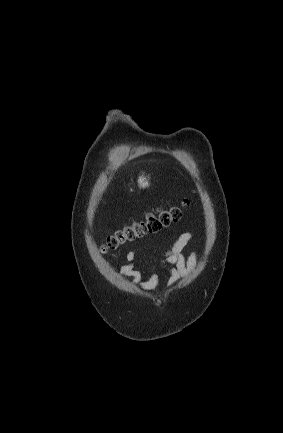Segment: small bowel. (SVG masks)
I'll list each match as a JSON object with an SVG mask.
<instances>
[{
  "label": "small bowel",
  "mask_w": 283,
  "mask_h": 433,
  "mask_svg": "<svg viewBox=\"0 0 283 433\" xmlns=\"http://www.w3.org/2000/svg\"><path fill=\"white\" fill-rule=\"evenodd\" d=\"M193 240L192 233L184 232L169 249L161 253L162 268L169 274L168 287H172L194 270L198 251H192L187 258L183 254V249ZM138 259L137 250L129 251L125 256L126 264L120 267V275L132 278L133 284L143 290L153 289L159 281V269L152 260H149L152 263L150 277L142 280L141 273L137 269Z\"/></svg>",
  "instance_id": "c3829d8e"
}]
</instances>
